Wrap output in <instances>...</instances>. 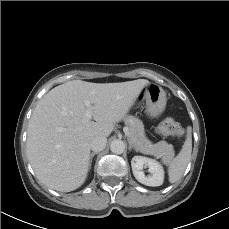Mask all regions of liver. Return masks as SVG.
<instances>
[{
    "mask_svg": "<svg viewBox=\"0 0 229 229\" xmlns=\"http://www.w3.org/2000/svg\"><path fill=\"white\" fill-rule=\"evenodd\" d=\"M146 79L120 83L73 80L50 90L37 103L28 124L27 155L37 178L61 192L79 188L89 170L90 142L108 137L123 120ZM85 101L94 121H85Z\"/></svg>",
    "mask_w": 229,
    "mask_h": 229,
    "instance_id": "1",
    "label": "liver"
}]
</instances>
